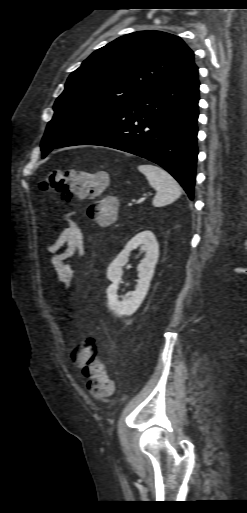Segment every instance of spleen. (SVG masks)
Segmentation results:
<instances>
[{
	"label": "spleen",
	"mask_w": 247,
	"mask_h": 513,
	"mask_svg": "<svg viewBox=\"0 0 247 513\" xmlns=\"http://www.w3.org/2000/svg\"><path fill=\"white\" fill-rule=\"evenodd\" d=\"M138 170L143 173L149 184L157 191L153 206L161 207L177 200L182 192L177 181L162 168L152 164H140Z\"/></svg>",
	"instance_id": "3e777b00"
}]
</instances>
